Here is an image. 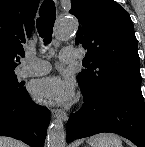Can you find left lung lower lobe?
Masks as SVG:
<instances>
[{
	"instance_id": "obj_1",
	"label": "left lung lower lobe",
	"mask_w": 145,
	"mask_h": 147,
	"mask_svg": "<svg viewBox=\"0 0 145 147\" xmlns=\"http://www.w3.org/2000/svg\"><path fill=\"white\" fill-rule=\"evenodd\" d=\"M81 91L84 104L67 122V142L112 132L129 139L137 147H145V105L141 83L116 86L95 99Z\"/></svg>"
}]
</instances>
